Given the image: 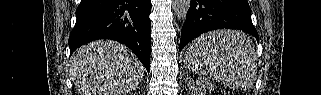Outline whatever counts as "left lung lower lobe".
<instances>
[{
  "mask_svg": "<svg viewBox=\"0 0 321 95\" xmlns=\"http://www.w3.org/2000/svg\"><path fill=\"white\" fill-rule=\"evenodd\" d=\"M223 28L242 30L259 41L247 0H191L179 50L202 33Z\"/></svg>",
  "mask_w": 321,
  "mask_h": 95,
  "instance_id": "0a47b994",
  "label": "left lung lower lobe"
}]
</instances>
